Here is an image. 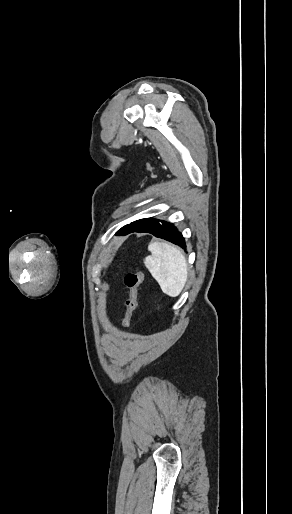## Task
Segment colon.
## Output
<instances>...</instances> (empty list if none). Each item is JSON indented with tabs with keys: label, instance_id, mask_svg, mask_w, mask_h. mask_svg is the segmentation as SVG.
Returning <instances> with one entry per match:
<instances>
[{
	"label": "colon",
	"instance_id": "obj_1",
	"mask_svg": "<svg viewBox=\"0 0 292 514\" xmlns=\"http://www.w3.org/2000/svg\"><path fill=\"white\" fill-rule=\"evenodd\" d=\"M142 280L143 274L137 269L129 270L125 275V286L128 290V298L126 300V312L121 322V325L124 328H128L132 322L137 306L138 290Z\"/></svg>",
	"mask_w": 292,
	"mask_h": 514
}]
</instances>
